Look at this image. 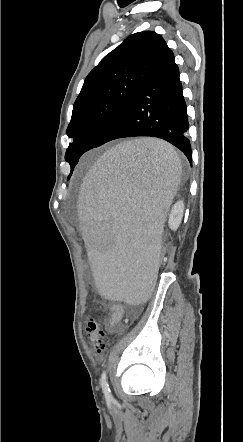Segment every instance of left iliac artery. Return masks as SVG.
I'll return each mask as SVG.
<instances>
[{
    "label": "left iliac artery",
    "mask_w": 243,
    "mask_h": 442,
    "mask_svg": "<svg viewBox=\"0 0 243 442\" xmlns=\"http://www.w3.org/2000/svg\"><path fill=\"white\" fill-rule=\"evenodd\" d=\"M100 384L103 390V393L105 395V398L107 400H111L112 399V395H111V391L107 382V373L106 371L102 372L101 378H100Z\"/></svg>",
    "instance_id": "left-iliac-artery-1"
}]
</instances>
